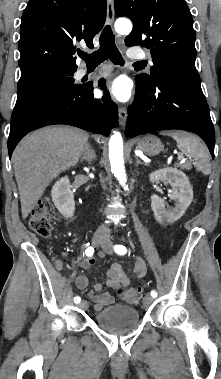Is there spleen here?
<instances>
[{
  "instance_id": "3e777b00",
  "label": "spleen",
  "mask_w": 221,
  "mask_h": 379,
  "mask_svg": "<svg viewBox=\"0 0 221 379\" xmlns=\"http://www.w3.org/2000/svg\"><path fill=\"white\" fill-rule=\"evenodd\" d=\"M161 134L171 136L176 141L179 150L195 160L196 170L201 171L205 175L210 174L209 152L198 137L184 131L163 132Z\"/></svg>"
}]
</instances>
